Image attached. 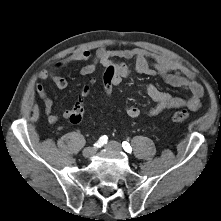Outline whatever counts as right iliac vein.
<instances>
[{"label": "right iliac vein", "instance_id": "1", "mask_svg": "<svg viewBox=\"0 0 221 221\" xmlns=\"http://www.w3.org/2000/svg\"><path fill=\"white\" fill-rule=\"evenodd\" d=\"M95 152H96L95 147H88L83 150V156L85 158H89V157L93 156L95 154Z\"/></svg>", "mask_w": 221, "mask_h": 221}]
</instances>
